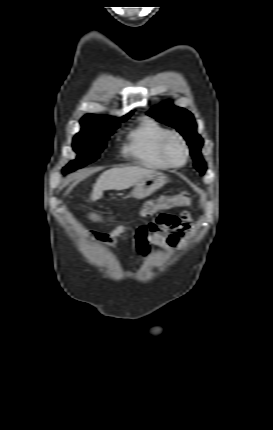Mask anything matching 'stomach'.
<instances>
[{"label": "stomach", "instance_id": "stomach-1", "mask_svg": "<svg viewBox=\"0 0 273 430\" xmlns=\"http://www.w3.org/2000/svg\"><path fill=\"white\" fill-rule=\"evenodd\" d=\"M165 183L166 176L161 172L153 171L135 184L132 196L137 199L146 198L161 188Z\"/></svg>", "mask_w": 273, "mask_h": 430}]
</instances>
